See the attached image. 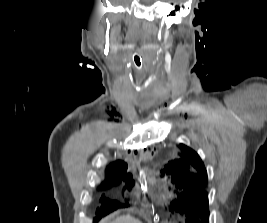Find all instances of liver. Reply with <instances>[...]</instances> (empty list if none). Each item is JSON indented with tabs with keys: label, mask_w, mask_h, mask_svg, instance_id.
<instances>
[{
	"label": "liver",
	"mask_w": 267,
	"mask_h": 223,
	"mask_svg": "<svg viewBox=\"0 0 267 223\" xmlns=\"http://www.w3.org/2000/svg\"><path fill=\"white\" fill-rule=\"evenodd\" d=\"M112 223H141V221L129 215H126L116 218Z\"/></svg>",
	"instance_id": "obj_1"
}]
</instances>
